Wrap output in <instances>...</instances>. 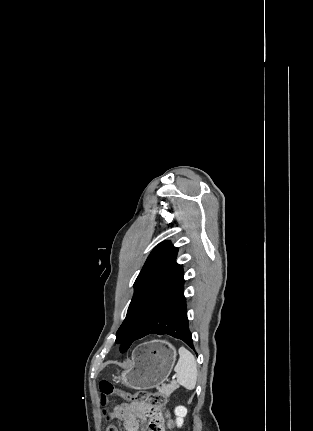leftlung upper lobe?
I'll return each mask as SVG.
<instances>
[{"instance_id":"left-lung-upper-lobe-1","label":"left lung upper lobe","mask_w":313,"mask_h":431,"mask_svg":"<svg viewBox=\"0 0 313 431\" xmlns=\"http://www.w3.org/2000/svg\"><path fill=\"white\" fill-rule=\"evenodd\" d=\"M177 248L170 241L160 243L149 255L134 283V295L127 315L116 333L120 351L128 350L153 316L183 291L182 265L176 263Z\"/></svg>"}]
</instances>
